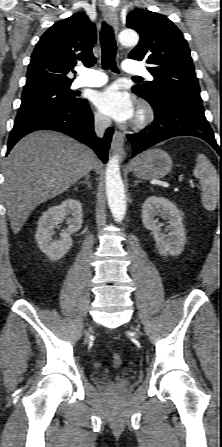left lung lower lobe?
<instances>
[{
    "label": "left lung lower lobe",
    "mask_w": 222,
    "mask_h": 447,
    "mask_svg": "<svg viewBox=\"0 0 222 447\" xmlns=\"http://www.w3.org/2000/svg\"><path fill=\"white\" fill-rule=\"evenodd\" d=\"M151 106L155 116L152 125L127 135L133 156L171 137L190 135L208 142L222 157V145L216 143L202 105L172 95Z\"/></svg>",
    "instance_id": "0a47b994"
}]
</instances>
